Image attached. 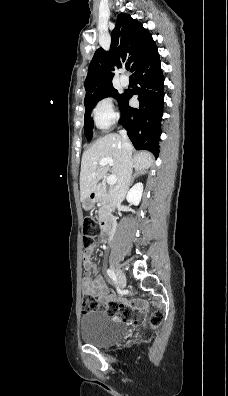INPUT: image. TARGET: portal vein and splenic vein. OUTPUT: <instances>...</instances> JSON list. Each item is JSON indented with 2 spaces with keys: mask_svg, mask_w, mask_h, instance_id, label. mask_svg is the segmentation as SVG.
I'll list each match as a JSON object with an SVG mask.
<instances>
[{
  "mask_svg": "<svg viewBox=\"0 0 228 396\" xmlns=\"http://www.w3.org/2000/svg\"><path fill=\"white\" fill-rule=\"evenodd\" d=\"M109 164L110 166L113 165V160L112 158H103L99 161L100 166H105ZM117 182V177L115 175H110L107 177V183L109 185H114Z\"/></svg>",
  "mask_w": 228,
  "mask_h": 396,
  "instance_id": "portal-vein-and-splenic-vein-1",
  "label": "portal vein and splenic vein"
}]
</instances>
